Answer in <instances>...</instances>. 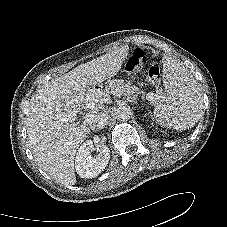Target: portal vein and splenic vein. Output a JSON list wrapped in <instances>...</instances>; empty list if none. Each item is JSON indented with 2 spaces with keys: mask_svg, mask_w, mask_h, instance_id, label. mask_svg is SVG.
<instances>
[{
  "mask_svg": "<svg viewBox=\"0 0 227 227\" xmlns=\"http://www.w3.org/2000/svg\"><path fill=\"white\" fill-rule=\"evenodd\" d=\"M113 95H115V96H117V97H121L122 94L119 93L117 90H115V91L113 92ZM148 99H149V100H153V99H154L153 93H148ZM87 100L90 102L89 105H92V106L95 105L94 102H98V99L95 98L93 94H88ZM92 117H93V115H91V114H86L85 117H84V122H83V123H84V124L90 123Z\"/></svg>",
  "mask_w": 227,
  "mask_h": 227,
  "instance_id": "portal-vein-and-splenic-vein-1",
  "label": "portal vein and splenic vein"
}]
</instances>
